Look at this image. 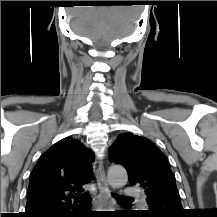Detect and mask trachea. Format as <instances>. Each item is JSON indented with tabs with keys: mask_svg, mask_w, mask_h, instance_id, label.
Instances as JSON below:
<instances>
[{
	"mask_svg": "<svg viewBox=\"0 0 217 217\" xmlns=\"http://www.w3.org/2000/svg\"><path fill=\"white\" fill-rule=\"evenodd\" d=\"M113 196L119 200V201H122V200H130L131 198H128V197H124V196H121V195H117V194H113ZM91 203V200L87 198V195H84V198L82 199L81 201V205L82 206H88L90 205Z\"/></svg>",
	"mask_w": 217,
	"mask_h": 217,
	"instance_id": "obj_1",
	"label": "trachea"
}]
</instances>
